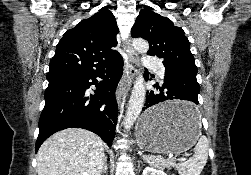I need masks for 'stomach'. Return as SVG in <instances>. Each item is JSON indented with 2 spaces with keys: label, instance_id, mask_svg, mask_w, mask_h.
I'll return each instance as SVG.
<instances>
[{
  "label": "stomach",
  "instance_id": "stomach-1",
  "mask_svg": "<svg viewBox=\"0 0 251 175\" xmlns=\"http://www.w3.org/2000/svg\"><path fill=\"white\" fill-rule=\"evenodd\" d=\"M192 100H162L138 119L136 139L150 154L182 153L200 137V114Z\"/></svg>",
  "mask_w": 251,
  "mask_h": 175
}]
</instances>
